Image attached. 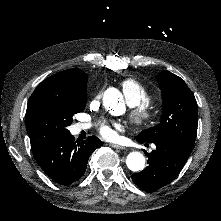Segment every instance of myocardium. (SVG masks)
Wrapping results in <instances>:
<instances>
[{
  "mask_svg": "<svg viewBox=\"0 0 221 221\" xmlns=\"http://www.w3.org/2000/svg\"><path fill=\"white\" fill-rule=\"evenodd\" d=\"M161 118L159 106H149L146 109H135L129 115V127L133 131H140L143 128H151Z\"/></svg>",
  "mask_w": 221,
  "mask_h": 221,
  "instance_id": "f54148a6",
  "label": "myocardium"
}]
</instances>
